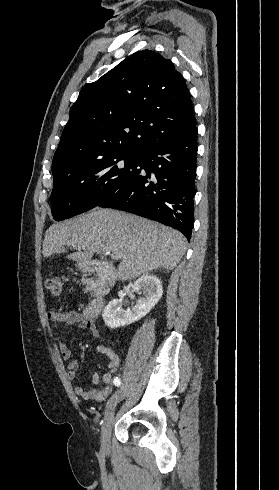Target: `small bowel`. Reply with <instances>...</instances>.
Instances as JSON below:
<instances>
[{
  "instance_id": "c3829d8e",
  "label": "small bowel",
  "mask_w": 279,
  "mask_h": 490,
  "mask_svg": "<svg viewBox=\"0 0 279 490\" xmlns=\"http://www.w3.org/2000/svg\"><path fill=\"white\" fill-rule=\"evenodd\" d=\"M47 320L50 322L52 327H58L62 324L78 325L80 328L89 331L94 338H99L100 336L94 323L87 319L81 312L75 310L49 311L47 313ZM59 351L64 360L71 359V350L64 342H59ZM97 351L109 359L108 370L102 375V377H100L98 373L94 372L91 378L93 386L90 388L77 386L75 388V394L85 400L102 402L106 400L112 392L113 383L116 378L120 361L118 355L110 347L98 345ZM78 372V361H71L69 364L68 378L70 380H75L78 376ZM100 381H102L105 386L102 389H97L96 386L100 383Z\"/></svg>"
}]
</instances>
